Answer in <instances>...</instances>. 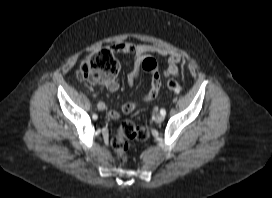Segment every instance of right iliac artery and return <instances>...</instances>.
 I'll return each instance as SVG.
<instances>
[{"instance_id":"obj_1","label":"right iliac artery","mask_w":272,"mask_h":198,"mask_svg":"<svg viewBox=\"0 0 272 198\" xmlns=\"http://www.w3.org/2000/svg\"><path fill=\"white\" fill-rule=\"evenodd\" d=\"M103 105V103H99V106ZM93 119H97V115H93Z\"/></svg>"}]
</instances>
